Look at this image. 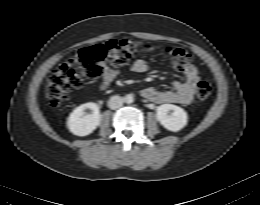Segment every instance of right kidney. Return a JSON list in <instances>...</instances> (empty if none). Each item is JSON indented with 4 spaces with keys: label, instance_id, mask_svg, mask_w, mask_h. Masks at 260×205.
Masks as SVG:
<instances>
[{
    "label": "right kidney",
    "instance_id": "1",
    "mask_svg": "<svg viewBox=\"0 0 260 205\" xmlns=\"http://www.w3.org/2000/svg\"><path fill=\"white\" fill-rule=\"evenodd\" d=\"M91 109V114L85 110ZM101 115L97 104L89 102L77 107L69 116L67 126L74 135L86 136L91 134L100 125Z\"/></svg>",
    "mask_w": 260,
    "mask_h": 205
}]
</instances>
